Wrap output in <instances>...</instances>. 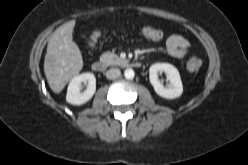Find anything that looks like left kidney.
<instances>
[{"label":"left kidney","mask_w":248,"mask_h":165,"mask_svg":"<svg viewBox=\"0 0 248 165\" xmlns=\"http://www.w3.org/2000/svg\"><path fill=\"white\" fill-rule=\"evenodd\" d=\"M165 72L169 84L164 87L158 80V73ZM150 83L154 87L155 92L166 99H175L181 96L183 85L178 70L168 63H155L149 69Z\"/></svg>","instance_id":"obj_1"}]
</instances>
